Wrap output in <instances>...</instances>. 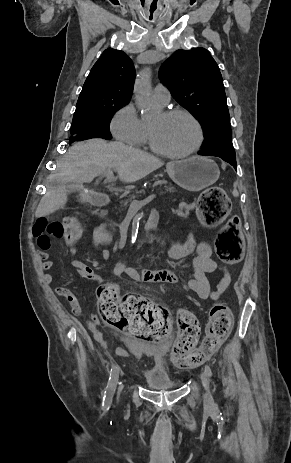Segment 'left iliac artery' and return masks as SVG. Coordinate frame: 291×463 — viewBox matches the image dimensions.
<instances>
[{
  "mask_svg": "<svg viewBox=\"0 0 291 463\" xmlns=\"http://www.w3.org/2000/svg\"><path fill=\"white\" fill-rule=\"evenodd\" d=\"M205 371L207 372V374H208L209 376L212 375L211 368H210L208 365H205Z\"/></svg>",
  "mask_w": 291,
  "mask_h": 463,
  "instance_id": "1",
  "label": "left iliac artery"
}]
</instances>
